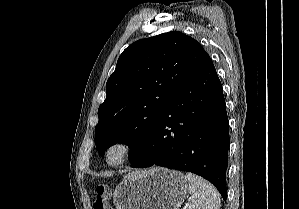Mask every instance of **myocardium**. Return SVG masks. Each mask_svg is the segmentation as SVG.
Wrapping results in <instances>:
<instances>
[{
    "label": "myocardium",
    "instance_id": "f54148a6",
    "mask_svg": "<svg viewBox=\"0 0 299 209\" xmlns=\"http://www.w3.org/2000/svg\"><path fill=\"white\" fill-rule=\"evenodd\" d=\"M115 148L120 150V157L116 161H111L109 157L110 152ZM134 152L135 145L131 140L124 137H118L107 144L104 151V161L109 167H121L132 158Z\"/></svg>",
    "mask_w": 299,
    "mask_h": 209
}]
</instances>
